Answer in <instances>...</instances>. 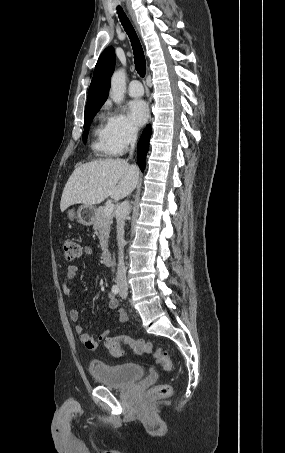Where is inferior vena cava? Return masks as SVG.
<instances>
[{"instance_id": "inferior-vena-cava-1", "label": "inferior vena cava", "mask_w": 285, "mask_h": 453, "mask_svg": "<svg viewBox=\"0 0 285 453\" xmlns=\"http://www.w3.org/2000/svg\"><path fill=\"white\" fill-rule=\"evenodd\" d=\"M137 140V130L132 128L129 134V143L131 145L130 156L133 154V150ZM130 213V206L128 201H124L119 207V214L116 217L117 220V243H118V266L116 273V282L118 284H126V267L124 264V253L123 248L125 244L124 240V226L125 219Z\"/></svg>"}]
</instances>
